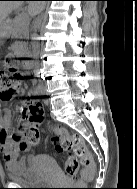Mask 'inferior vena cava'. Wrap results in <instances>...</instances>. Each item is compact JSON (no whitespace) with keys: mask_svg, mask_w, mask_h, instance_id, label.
<instances>
[{"mask_svg":"<svg viewBox=\"0 0 137 189\" xmlns=\"http://www.w3.org/2000/svg\"><path fill=\"white\" fill-rule=\"evenodd\" d=\"M39 85H44V82H39Z\"/></svg>","mask_w":137,"mask_h":189,"instance_id":"602c4592","label":"inferior vena cava"}]
</instances>
